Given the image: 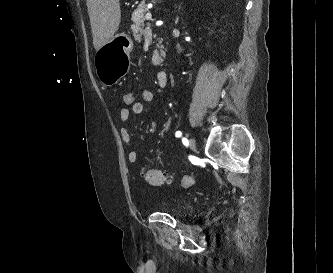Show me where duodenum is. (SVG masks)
<instances>
[{
	"label": "duodenum",
	"instance_id": "obj_1",
	"mask_svg": "<svg viewBox=\"0 0 333 273\" xmlns=\"http://www.w3.org/2000/svg\"><path fill=\"white\" fill-rule=\"evenodd\" d=\"M168 83V73L166 71H159L157 73V84L160 87H165Z\"/></svg>",
	"mask_w": 333,
	"mask_h": 273
}]
</instances>
